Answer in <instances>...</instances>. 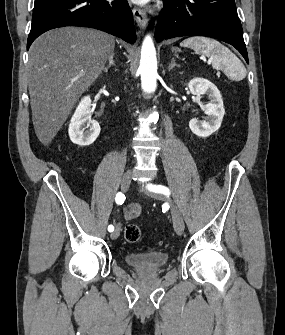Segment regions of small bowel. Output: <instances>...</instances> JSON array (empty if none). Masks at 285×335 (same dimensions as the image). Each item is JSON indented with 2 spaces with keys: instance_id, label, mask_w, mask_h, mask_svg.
Masks as SVG:
<instances>
[{
  "instance_id": "small-bowel-1",
  "label": "small bowel",
  "mask_w": 285,
  "mask_h": 335,
  "mask_svg": "<svg viewBox=\"0 0 285 335\" xmlns=\"http://www.w3.org/2000/svg\"><path fill=\"white\" fill-rule=\"evenodd\" d=\"M141 214V206L136 202H131L124 210V217L127 220H133Z\"/></svg>"
}]
</instances>
